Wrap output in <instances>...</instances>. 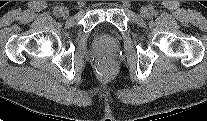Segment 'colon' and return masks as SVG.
Wrapping results in <instances>:
<instances>
[{
    "label": "colon",
    "mask_w": 207,
    "mask_h": 121,
    "mask_svg": "<svg viewBox=\"0 0 207 121\" xmlns=\"http://www.w3.org/2000/svg\"><path fill=\"white\" fill-rule=\"evenodd\" d=\"M98 69L103 74L111 73L115 69V63L109 56H103L99 59Z\"/></svg>",
    "instance_id": "5ec220e1"
}]
</instances>
